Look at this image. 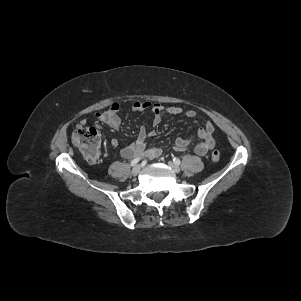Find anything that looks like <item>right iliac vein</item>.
I'll list each match as a JSON object with an SVG mask.
<instances>
[{
	"label": "right iliac vein",
	"mask_w": 301,
	"mask_h": 301,
	"mask_svg": "<svg viewBox=\"0 0 301 301\" xmlns=\"http://www.w3.org/2000/svg\"><path fill=\"white\" fill-rule=\"evenodd\" d=\"M141 166L140 165H136L133 169H132V175L133 176H137L138 173L140 172Z\"/></svg>",
	"instance_id": "63e3f726"
}]
</instances>
